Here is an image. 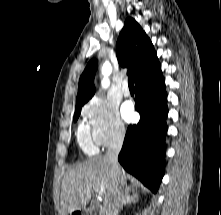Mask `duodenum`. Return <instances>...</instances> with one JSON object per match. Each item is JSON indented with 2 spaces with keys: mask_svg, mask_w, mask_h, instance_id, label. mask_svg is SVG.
Returning a JSON list of instances; mask_svg holds the SVG:
<instances>
[{
  "mask_svg": "<svg viewBox=\"0 0 221 215\" xmlns=\"http://www.w3.org/2000/svg\"><path fill=\"white\" fill-rule=\"evenodd\" d=\"M73 215H88V212L86 210H77Z\"/></svg>",
  "mask_w": 221,
  "mask_h": 215,
  "instance_id": "duodenum-1",
  "label": "duodenum"
}]
</instances>
